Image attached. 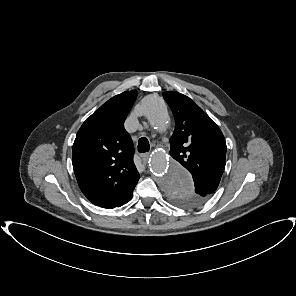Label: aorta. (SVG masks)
I'll return each instance as SVG.
<instances>
[{"mask_svg":"<svg viewBox=\"0 0 296 296\" xmlns=\"http://www.w3.org/2000/svg\"><path fill=\"white\" fill-rule=\"evenodd\" d=\"M139 111L157 130H163L169 123V114L164 101L157 96L145 97ZM150 169L155 175L159 186L166 192L192 191L193 180L187 172L172 156H166L159 151L154 152L150 159Z\"/></svg>","mask_w":296,"mask_h":296,"instance_id":"762f6f07","label":"aorta"}]
</instances>
